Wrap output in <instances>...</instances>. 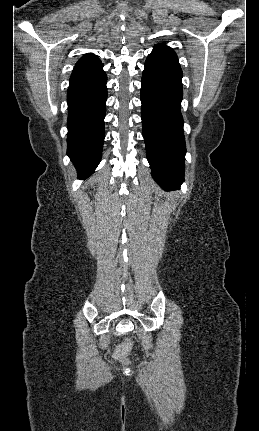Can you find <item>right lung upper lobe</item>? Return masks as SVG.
Here are the masks:
<instances>
[{
  "label": "right lung upper lobe",
  "instance_id": "obj_1",
  "mask_svg": "<svg viewBox=\"0 0 259 431\" xmlns=\"http://www.w3.org/2000/svg\"><path fill=\"white\" fill-rule=\"evenodd\" d=\"M99 63H101V61L96 55H94L92 53H88L79 59V61L75 65L73 71L78 70V69L91 67V66L97 65Z\"/></svg>",
  "mask_w": 259,
  "mask_h": 431
}]
</instances>
